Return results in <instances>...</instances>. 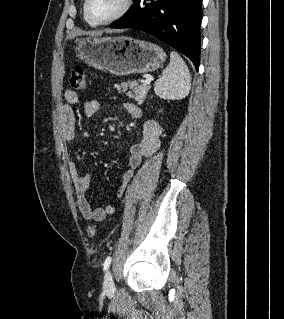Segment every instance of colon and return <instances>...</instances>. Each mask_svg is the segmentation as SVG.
Listing matches in <instances>:
<instances>
[{
  "mask_svg": "<svg viewBox=\"0 0 284 319\" xmlns=\"http://www.w3.org/2000/svg\"><path fill=\"white\" fill-rule=\"evenodd\" d=\"M70 84L72 88L82 90L87 87V77L84 68L81 65H75L71 69ZM87 233L90 237L95 236L96 226L90 225L87 228Z\"/></svg>",
  "mask_w": 284,
  "mask_h": 319,
  "instance_id": "5ec220e1",
  "label": "colon"
}]
</instances>
